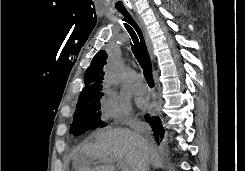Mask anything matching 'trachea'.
Here are the masks:
<instances>
[{
	"label": "trachea",
	"mask_w": 245,
	"mask_h": 171,
	"mask_svg": "<svg viewBox=\"0 0 245 171\" xmlns=\"http://www.w3.org/2000/svg\"><path fill=\"white\" fill-rule=\"evenodd\" d=\"M117 10L124 16L123 25L128 31L131 39V49L132 52L139 62L141 68L143 69L144 77L148 83V85L153 86L154 80L152 76V64L147 51V47L145 44V40L143 34L129 13V11L125 8L122 2L116 3Z\"/></svg>",
	"instance_id": "1"
}]
</instances>
